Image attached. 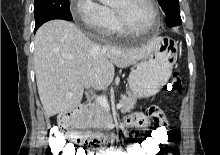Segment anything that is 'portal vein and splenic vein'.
Here are the masks:
<instances>
[{"mask_svg": "<svg viewBox=\"0 0 220 155\" xmlns=\"http://www.w3.org/2000/svg\"><path fill=\"white\" fill-rule=\"evenodd\" d=\"M72 93H68L66 96H72ZM96 102L98 104H100L102 107H104L105 109H110V106L108 104L107 98L103 97V96H97L96 97ZM123 106L122 103H119L116 105V108H121Z\"/></svg>", "mask_w": 220, "mask_h": 155, "instance_id": "18ae733b", "label": "portal vein and splenic vein"}]
</instances>
